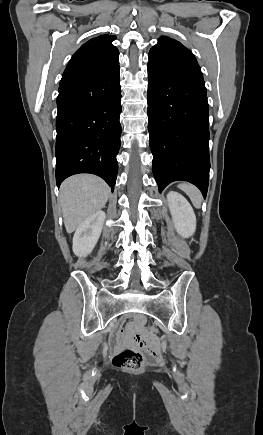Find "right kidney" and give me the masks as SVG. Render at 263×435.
Returning <instances> with one entry per match:
<instances>
[{
	"label": "right kidney",
	"instance_id": "right-kidney-1",
	"mask_svg": "<svg viewBox=\"0 0 263 435\" xmlns=\"http://www.w3.org/2000/svg\"><path fill=\"white\" fill-rule=\"evenodd\" d=\"M105 219V212L98 211L78 226L73 237L72 246L75 255L82 257L92 252L101 235Z\"/></svg>",
	"mask_w": 263,
	"mask_h": 435
}]
</instances>
